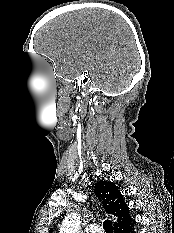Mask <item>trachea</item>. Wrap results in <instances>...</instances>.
Listing matches in <instances>:
<instances>
[{"instance_id":"1","label":"trachea","mask_w":174,"mask_h":233,"mask_svg":"<svg viewBox=\"0 0 174 233\" xmlns=\"http://www.w3.org/2000/svg\"><path fill=\"white\" fill-rule=\"evenodd\" d=\"M103 228L106 233H113V226L111 220L107 219L103 222Z\"/></svg>"}]
</instances>
